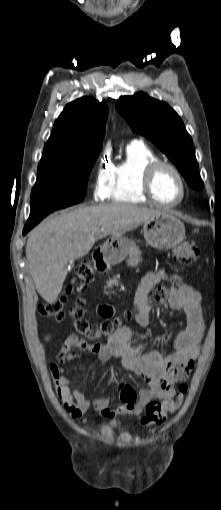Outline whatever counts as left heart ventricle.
Masks as SVG:
<instances>
[{
  "instance_id": "left-heart-ventricle-1",
  "label": "left heart ventricle",
  "mask_w": 221,
  "mask_h": 510,
  "mask_svg": "<svg viewBox=\"0 0 221 510\" xmlns=\"http://www.w3.org/2000/svg\"><path fill=\"white\" fill-rule=\"evenodd\" d=\"M153 190L158 200L165 203L177 201L181 196V185L176 175L169 169H161L153 182Z\"/></svg>"
}]
</instances>
